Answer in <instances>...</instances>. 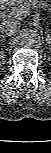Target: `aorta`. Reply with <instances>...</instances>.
<instances>
[{
    "mask_svg": "<svg viewBox=\"0 0 51 153\" xmlns=\"http://www.w3.org/2000/svg\"><path fill=\"white\" fill-rule=\"evenodd\" d=\"M39 41V35L35 30L27 29L20 34V43L26 47H34Z\"/></svg>",
    "mask_w": 51,
    "mask_h": 153,
    "instance_id": "762f6f07",
    "label": "aorta"
}]
</instances>
